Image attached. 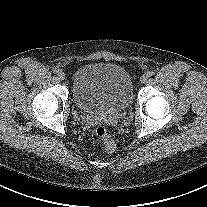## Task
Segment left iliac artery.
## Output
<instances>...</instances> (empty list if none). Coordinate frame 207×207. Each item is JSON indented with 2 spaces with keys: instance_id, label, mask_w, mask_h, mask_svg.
<instances>
[{
  "instance_id": "obj_1",
  "label": "left iliac artery",
  "mask_w": 207,
  "mask_h": 207,
  "mask_svg": "<svg viewBox=\"0 0 207 207\" xmlns=\"http://www.w3.org/2000/svg\"><path fill=\"white\" fill-rule=\"evenodd\" d=\"M154 74H155L154 71H148V72H147V75H148V76H153Z\"/></svg>"
}]
</instances>
